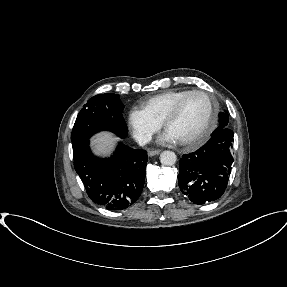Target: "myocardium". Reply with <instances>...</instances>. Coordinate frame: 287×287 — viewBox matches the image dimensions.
Instances as JSON below:
<instances>
[{"instance_id": "myocardium-1", "label": "myocardium", "mask_w": 287, "mask_h": 287, "mask_svg": "<svg viewBox=\"0 0 287 287\" xmlns=\"http://www.w3.org/2000/svg\"><path fill=\"white\" fill-rule=\"evenodd\" d=\"M194 95H202V96L206 97V99L208 100L209 105H210V111H209L208 122H207L204 130L198 136H196L195 138L190 139V140H186V141H183V142L179 143L181 146H184V147H187V148H196V147H198L203 142H205V140L210 136V134L214 130V128L216 126L217 111H218L217 104H216L214 98L209 93H207L205 91L192 90L188 94H186L185 96L180 98L174 104V106L169 110V112L165 115V117H164V119L162 121V127L164 129H166L167 125L178 116L183 104L190 97H192Z\"/></svg>"}]
</instances>
